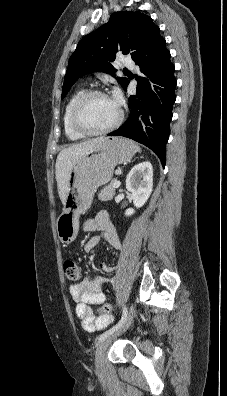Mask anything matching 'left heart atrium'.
<instances>
[{"label": "left heart atrium", "mask_w": 227, "mask_h": 396, "mask_svg": "<svg viewBox=\"0 0 227 396\" xmlns=\"http://www.w3.org/2000/svg\"><path fill=\"white\" fill-rule=\"evenodd\" d=\"M111 100L114 102V104H115L116 106H118V107L120 106V104H121V102H122V97H121V94L119 93L118 90H115V91L113 92V95H112Z\"/></svg>", "instance_id": "obj_1"}]
</instances>
